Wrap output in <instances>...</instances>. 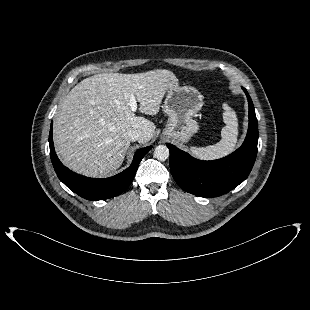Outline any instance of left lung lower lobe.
<instances>
[{
	"label": "left lung lower lobe",
	"mask_w": 310,
	"mask_h": 310,
	"mask_svg": "<svg viewBox=\"0 0 310 310\" xmlns=\"http://www.w3.org/2000/svg\"><path fill=\"white\" fill-rule=\"evenodd\" d=\"M243 90L249 103V128L244 143L235 152L218 160L202 161L167 144L172 176L186 192L201 197H217L248 177L257 155L258 125L252 100Z\"/></svg>",
	"instance_id": "1"
}]
</instances>
